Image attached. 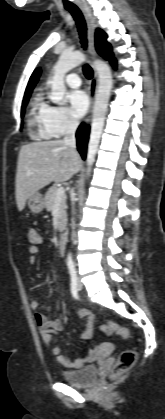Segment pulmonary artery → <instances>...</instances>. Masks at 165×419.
<instances>
[{
  "label": "pulmonary artery",
  "mask_w": 165,
  "mask_h": 419,
  "mask_svg": "<svg viewBox=\"0 0 165 419\" xmlns=\"http://www.w3.org/2000/svg\"><path fill=\"white\" fill-rule=\"evenodd\" d=\"M65 82L72 88H77L81 85V79L77 74L71 73L66 76Z\"/></svg>",
  "instance_id": "pulmonary-artery-1"
}]
</instances>
